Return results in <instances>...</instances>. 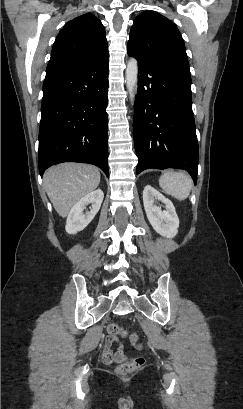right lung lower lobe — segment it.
Instances as JSON below:
<instances>
[{"label":"right lung lower lobe","mask_w":243,"mask_h":409,"mask_svg":"<svg viewBox=\"0 0 243 409\" xmlns=\"http://www.w3.org/2000/svg\"><path fill=\"white\" fill-rule=\"evenodd\" d=\"M108 53L47 75L39 127V172L61 162L98 166L108 176Z\"/></svg>","instance_id":"98d812e1"}]
</instances>
